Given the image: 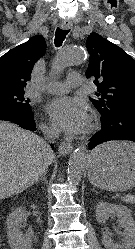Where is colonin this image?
Listing matches in <instances>:
<instances>
[{
  "mask_svg": "<svg viewBox=\"0 0 135 249\" xmlns=\"http://www.w3.org/2000/svg\"><path fill=\"white\" fill-rule=\"evenodd\" d=\"M0 249H2V245L0 244Z\"/></svg>",
  "mask_w": 135,
  "mask_h": 249,
  "instance_id": "1",
  "label": "colon"
}]
</instances>
